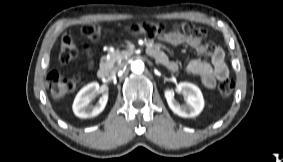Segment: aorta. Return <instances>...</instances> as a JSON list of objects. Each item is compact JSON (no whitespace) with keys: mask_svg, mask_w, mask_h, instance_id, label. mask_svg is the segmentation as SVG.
<instances>
[{"mask_svg":"<svg viewBox=\"0 0 283 162\" xmlns=\"http://www.w3.org/2000/svg\"><path fill=\"white\" fill-rule=\"evenodd\" d=\"M131 71L136 74H140L144 71V63L141 60H135L131 64Z\"/></svg>","mask_w":283,"mask_h":162,"instance_id":"762f6f07","label":"aorta"}]
</instances>
